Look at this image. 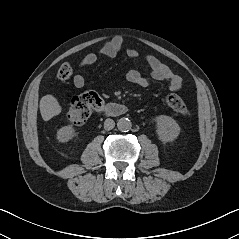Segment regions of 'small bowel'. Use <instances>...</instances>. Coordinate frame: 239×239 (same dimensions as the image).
I'll use <instances>...</instances> for the list:
<instances>
[{
  "instance_id": "1",
  "label": "small bowel",
  "mask_w": 239,
  "mask_h": 239,
  "mask_svg": "<svg viewBox=\"0 0 239 239\" xmlns=\"http://www.w3.org/2000/svg\"><path fill=\"white\" fill-rule=\"evenodd\" d=\"M123 46V40L121 38H114L110 43L103 46L98 53L87 54L79 63V67L90 66L96 63L98 55H104L108 57H115ZM126 54L128 57L136 59L140 58V53L135 49H127ZM144 61L149 67L150 75L157 81H167L171 91H179L182 88V79L179 75L171 71L166 65L161 63L156 57L147 55L144 57ZM127 80L130 83L138 85L140 87H146L148 80L141 75L138 70H130L127 73ZM73 84L76 88H83L85 86V78L82 75H75L73 78Z\"/></svg>"
}]
</instances>
